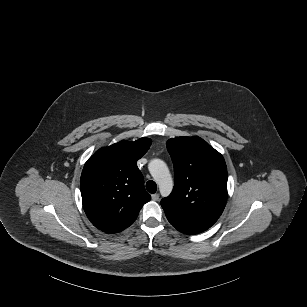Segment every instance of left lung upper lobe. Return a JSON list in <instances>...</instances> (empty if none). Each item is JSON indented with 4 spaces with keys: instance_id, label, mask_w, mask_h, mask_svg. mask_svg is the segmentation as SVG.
I'll return each instance as SVG.
<instances>
[{
    "instance_id": "1",
    "label": "left lung upper lobe",
    "mask_w": 307,
    "mask_h": 307,
    "mask_svg": "<svg viewBox=\"0 0 307 307\" xmlns=\"http://www.w3.org/2000/svg\"><path fill=\"white\" fill-rule=\"evenodd\" d=\"M174 164L175 185L161 200L170 223L185 233L210 228L227 201V168L223 156L203 139L177 137L166 143Z\"/></svg>"
}]
</instances>
